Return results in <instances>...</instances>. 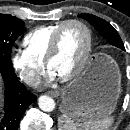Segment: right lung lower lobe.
Wrapping results in <instances>:
<instances>
[{"instance_id":"obj_1","label":"right lung lower lobe","mask_w":130,"mask_h":130,"mask_svg":"<svg viewBox=\"0 0 130 130\" xmlns=\"http://www.w3.org/2000/svg\"><path fill=\"white\" fill-rule=\"evenodd\" d=\"M0 74L5 86L4 117L0 120V130H18L25 110L37 97L18 81L13 69L0 64Z\"/></svg>"}]
</instances>
